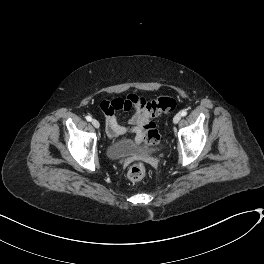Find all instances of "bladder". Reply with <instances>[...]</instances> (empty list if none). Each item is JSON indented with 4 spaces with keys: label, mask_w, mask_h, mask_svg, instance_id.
<instances>
[{
    "label": "bladder",
    "mask_w": 264,
    "mask_h": 264,
    "mask_svg": "<svg viewBox=\"0 0 264 264\" xmlns=\"http://www.w3.org/2000/svg\"><path fill=\"white\" fill-rule=\"evenodd\" d=\"M158 152V149L146 150L140 147L132 140L121 141L117 144L111 145L106 149V155L112 160H117L127 156L134 155H150Z\"/></svg>",
    "instance_id": "1"
}]
</instances>
